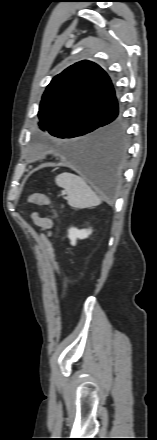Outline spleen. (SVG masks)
<instances>
[{"instance_id": "1", "label": "spleen", "mask_w": 157, "mask_h": 440, "mask_svg": "<svg viewBox=\"0 0 157 440\" xmlns=\"http://www.w3.org/2000/svg\"><path fill=\"white\" fill-rule=\"evenodd\" d=\"M59 187L67 194L68 204L76 209L90 208L101 204L100 198L79 176L61 173L55 178Z\"/></svg>"}]
</instances>
